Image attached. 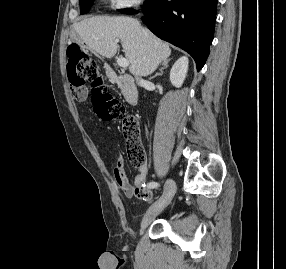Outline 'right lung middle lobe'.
Masks as SVG:
<instances>
[{
	"instance_id": "1",
	"label": "right lung middle lobe",
	"mask_w": 286,
	"mask_h": 269,
	"mask_svg": "<svg viewBox=\"0 0 286 269\" xmlns=\"http://www.w3.org/2000/svg\"><path fill=\"white\" fill-rule=\"evenodd\" d=\"M94 0H79L80 7H81V14H85L90 10V6L92 5ZM158 0H145L144 5L142 6L143 10L150 9L156 5ZM124 13H135L132 9H124L120 10Z\"/></svg>"
}]
</instances>
